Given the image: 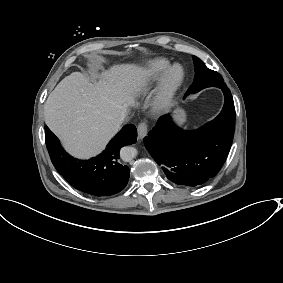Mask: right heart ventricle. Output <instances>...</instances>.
<instances>
[{"instance_id":"1","label":"right heart ventricle","mask_w":283,"mask_h":283,"mask_svg":"<svg viewBox=\"0 0 283 283\" xmlns=\"http://www.w3.org/2000/svg\"><path fill=\"white\" fill-rule=\"evenodd\" d=\"M170 64L171 62L167 58L151 59L133 75L130 82L131 90L135 92L144 91Z\"/></svg>"}]
</instances>
